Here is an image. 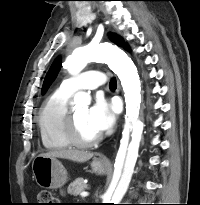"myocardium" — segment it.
Masks as SVG:
<instances>
[{
	"label": "myocardium",
	"mask_w": 200,
	"mask_h": 205,
	"mask_svg": "<svg viewBox=\"0 0 200 205\" xmlns=\"http://www.w3.org/2000/svg\"><path fill=\"white\" fill-rule=\"evenodd\" d=\"M65 135L71 145L80 148L92 147L98 144L102 139L101 135H98L97 137L89 140L81 138L77 130L75 117L71 110L67 111V115H66Z\"/></svg>",
	"instance_id": "obj_1"
}]
</instances>
